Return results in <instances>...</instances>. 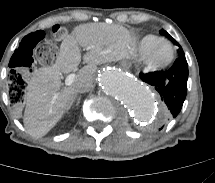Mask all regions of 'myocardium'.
I'll return each mask as SVG.
<instances>
[{
  "mask_svg": "<svg viewBox=\"0 0 215 183\" xmlns=\"http://www.w3.org/2000/svg\"><path fill=\"white\" fill-rule=\"evenodd\" d=\"M161 45H167L169 47V53L166 57L158 58L156 52ZM175 60V48L173 44L161 39L157 42L149 51H147L142 57V62L145 70L150 73H158L167 69Z\"/></svg>",
  "mask_w": 215,
  "mask_h": 183,
  "instance_id": "1",
  "label": "myocardium"
}]
</instances>
